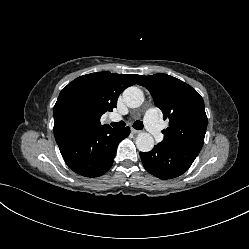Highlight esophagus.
<instances>
[{"label":"esophagus","mask_w":249,"mask_h":249,"mask_svg":"<svg viewBox=\"0 0 249 249\" xmlns=\"http://www.w3.org/2000/svg\"><path fill=\"white\" fill-rule=\"evenodd\" d=\"M131 132H132L133 134H140L142 131L136 130V129H134V128H131Z\"/></svg>","instance_id":"esophagus-1"}]
</instances>
